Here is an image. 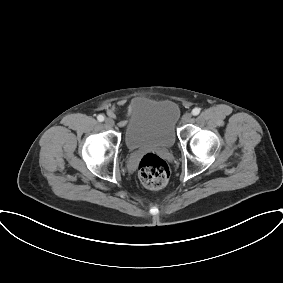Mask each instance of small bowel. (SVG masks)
I'll use <instances>...</instances> for the list:
<instances>
[{
  "label": "small bowel",
  "mask_w": 283,
  "mask_h": 283,
  "mask_svg": "<svg viewBox=\"0 0 283 283\" xmlns=\"http://www.w3.org/2000/svg\"><path fill=\"white\" fill-rule=\"evenodd\" d=\"M137 102H138L137 100L133 101V102L130 104V106H129V110H130V109L132 108V106H133L134 104H136ZM124 104H125L124 101H119V102H118V106H123ZM116 113H117V109H116L115 106H111V107H109V108L107 109V114H108V116L111 117V118H115V117H116ZM118 124H119L120 127H124V126L127 124V121H126L125 119H121V120L118 122Z\"/></svg>",
  "instance_id": "c3829d8e"
}]
</instances>
